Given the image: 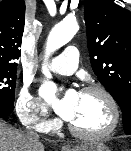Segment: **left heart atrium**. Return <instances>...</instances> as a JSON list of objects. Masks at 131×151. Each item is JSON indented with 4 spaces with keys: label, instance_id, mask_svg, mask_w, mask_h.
Listing matches in <instances>:
<instances>
[{
    "label": "left heart atrium",
    "instance_id": "obj_1",
    "mask_svg": "<svg viewBox=\"0 0 131 151\" xmlns=\"http://www.w3.org/2000/svg\"><path fill=\"white\" fill-rule=\"evenodd\" d=\"M43 97L50 102L56 112L65 120L70 121L75 113V107L78 101L79 93L69 90L63 98L56 97V88L52 84H46L42 87Z\"/></svg>",
    "mask_w": 131,
    "mask_h": 151
}]
</instances>
